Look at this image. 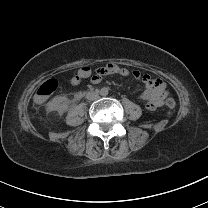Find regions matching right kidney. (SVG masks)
<instances>
[{
    "instance_id": "obj_1",
    "label": "right kidney",
    "mask_w": 208,
    "mask_h": 208,
    "mask_svg": "<svg viewBox=\"0 0 208 208\" xmlns=\"http://www.w3.org/2000/svg\"><path fill=\"white\" fill-rule=\"evenodd\" d=\"M48 108L64 113L68 109V97L55 96L48 102Z\"/></svg>"
}]
</instances>
